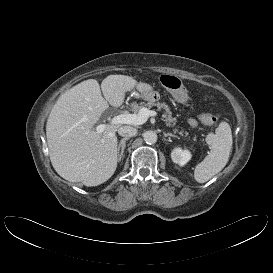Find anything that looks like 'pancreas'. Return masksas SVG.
<instances>
[{
  "label": "pancreas",
  "mask_w": 273,
  "mask_h": 273,
  "mask_svg": "<svg viewBox=\"0 0 273 273\" xmlns=\"http://www.w3.org/2000/svg\"><path fill=\"white\" fill-rule=\"evenodd\" d=\"M153 106H156L157 107V110L158 111H161V110H164V113L162 115L164 119V121L166 122V125L168 126H174L177 122V119L172 117V112L170 111V108L169 106L164 103V102H140V103H137V102H133L130 104V111H132L134 114H137L142 108H145V107H148V108H151ZM174 132H178V129L176 128L174 130ZM180 135H183L185 134V136H188V133L187 132H183V131H180L179 132Z\"/></svg>",
  "instance_id": "obj_1"
}]
</instances>
